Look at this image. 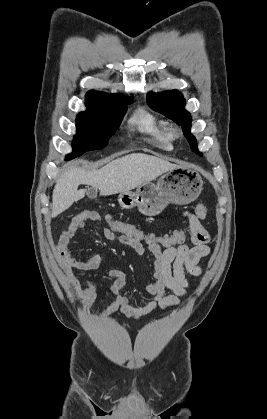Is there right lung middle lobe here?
<instances>
[{"mask_svg":"<svg viewBox=\"0 0 267 419\" xmlns=\"http://www.w3.org/2000/svg\"><path fill=\"white\" fill-rule=\"evenodd\" d=\"M133 98H112L86 105L87 110L80 112L76 118L77 133L73 139V152L66 160L80 156L88 150L101 149L108 143V139L115 133L127 104Z\"/></svg>","mask_w":267,"mask_h":419,"instance_id":"dd1d6c3e","label":"right lung middle lobe"}]
</instances>
